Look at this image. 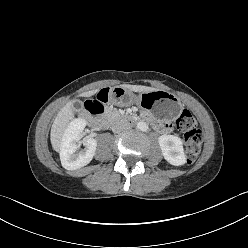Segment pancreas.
I'll return each instance as SVG.
<instances>
[{
    "instance_id": "pancreas-1",
    "label": "pancreas",
    "mask_w": 248,
    "mask_h": 248,
    "mask_svg": "<svg viewBox=\"0 0 248 248\" xmlns=\"http://www.w3.org/2000/svg\"><path fill=\"white\" fill-rule=\"evenodd\" d=\"M107 116L110 118V119H114L118 116V111L116 109H108L107 110Z\"/></svg>"
}]
</instances>
